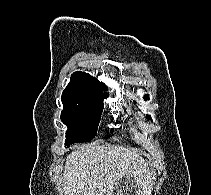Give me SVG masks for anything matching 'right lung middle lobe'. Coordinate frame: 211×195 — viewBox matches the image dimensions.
Here are the masks:
<instances>
[{
  "label": "right lung middle lobe",
  "mask_w": 211,
  "mask_h": 195,
  "mask_svg": "<svg viewBox=\"0 0 211 195\" xmlns=\"http://www.w3.org/2000/svg\"><path fill=\"white\" fill-rule=\"evenodd\" d=\"M61 121L68 127L65 147L93 139L104 108L103 103H78L62 101Z\"/></svg>",
  "instance_id": "1"
}]
</instances>
